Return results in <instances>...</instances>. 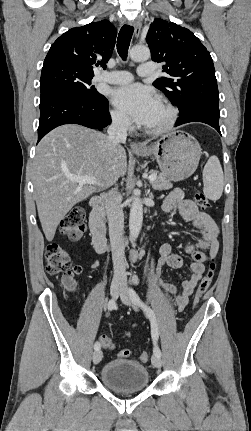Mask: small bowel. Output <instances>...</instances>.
Masks as SVG:
<instances>
[{
    "label": "small bowel",
    "instance_id": "c3829d8e",
    "mask_svg": "<svg viewBox=\"0 0 251 431\" xmlns=\"http://www.w3.org/2000/svg\"><path fill=\"white\" fill-rule=\"evenodd\" d=\"M163 210L165 213L178 210L182 218L191 222L200 234L196 243L185 246L186 253L190 255L193 261L190 265L191 274L188 279L182 282L180 294H177L178 288L175 284L163 282L160 275L164 266L175 269L181 268L183 260L179 255L173 253L172 247L168 243H164L159 249L160 257L156 269L159 283L166 292L175 295L172 301L181 311L188 304L195 286L201 279L205 271L206 261L215 257L218 252V228L214 220L207 213L200 211L192 200L186 199L180 189H174L168 195L163 203ZM128 326L130 328L136 327L135 324H128ZM125 335L130 336L131 332L126 331Z\"/></svg>",
    "mask_w": 251,
    "mask_h": 431
}]
</instances>
